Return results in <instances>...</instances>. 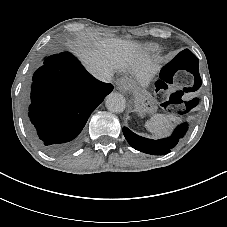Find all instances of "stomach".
<instances>
[{
  "label": "stomach",
  "mask_w": 227,
  "mask_h": 227,
  "mask_svg": "<svg viewBox=\"0 0 227 227\" xmlns=\"http://www.w3.org/2000/svg\"><path fill=\"white\" fill-rule=\"evenodd\" d=\"M125 81L130 82V87L127 90H124V92H128L130 89H132L136 95V110L141 113H150L156 110V104L155 100L152 98V96L143 90L142 88H136L134 86V81H131L129 79H121Z\"/></svg>",
  "instance_id": "obj_1"
}]
</instances>
